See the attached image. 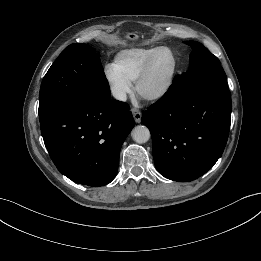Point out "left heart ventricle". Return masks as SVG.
Wrapping results in <instances>:
<instances>
[{"mask_svg":"<svg viewBox=\"0 0 261 261\" xmlns=\"http://www.w3.org/2000/svg\"><path fill=\"white\" fill-rule=\"evenodd\" d=\"M173 66V58L168 51H162L155 58L149 77L144 84L145 91H153L164 84Z\"/></svg>","mask_w":261,"mask_h":261,"instance_id":"left-heart-ventricle-1","label":"left heart ventricle"}]
</instances>
